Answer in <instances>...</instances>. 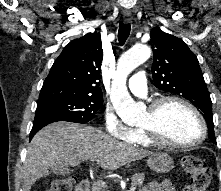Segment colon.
Returning a JSON list of instances; mask_svg holds the SVG:
<instances>
[{
  "label": "colon",
  "instance_id": "colon-1",
  "mask_svg": "<svg viewBox=\"0 0 221 191\" xmlns=\"http://www.w3.org/2000/svg\"><path fill=\"white\" fill-rule=\"evenodd\" d=\"M182 167L190 177L183 191H207L212 179V170L204 159L198 156H186L182 159ZM74 184L73 176L59 177L51 182L47 191H72Z\"/></svg>",
  "mask_w": 221,
  "mask_h": 191
}]
</instances>
